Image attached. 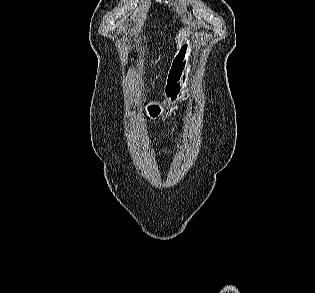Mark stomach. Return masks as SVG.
Instances as JSON below:
<instances>
[{
    "label": "stomach",
    "mask_w": 315,
    "mask_h": 293,
    "mask_svg": "<svg viewBox=\"0 0 315 293\" xmlns=\"http://www.w3.org/2000/svg\"><path fill=\"white\" fill-rule=\"evenodd\" d=\"M195 47V37L186 39L176 52L168 73L164 88L165 101L163 104L153 102L147 109L146 114L150 118L160 117L168 106L182 99L190 88V80L195 69V60L192 55Z\"/></svg>",
    "instance_id": "0dacf381"
}]
</instances>
